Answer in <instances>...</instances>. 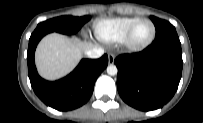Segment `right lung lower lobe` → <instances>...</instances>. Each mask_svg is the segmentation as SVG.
<instances>
[{
    "mask_svg": "<svg viewBox=\"0 0 203 123\" xmlns=\"http://www.w3.org/2000/svg\"><path fill=\"white\" fill-rule=\"evenodd\" d=\"M46 32L31 34L27 52L28 76L36 95L48 106L68 111L85 104L91 97L97 77L108 65L105 54L99 59H83L68 76L54 82L42 79L36 70L34 53Z\"/></svg>",
    "mask_w": 203,
    "mask_h": 123,
    "instance_id": "obj_1",
    "label": "right lung lower lobe"
}]
</instances>
